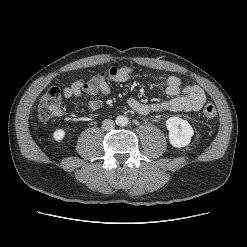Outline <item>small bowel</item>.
<instances>
[{"mask_svg":"<svg viewBox=\"0 0 247 247\" xmlns=\"http://www.w3.org/2000/svg\"><path fill=\"white\" fill-rule=\"evenodd\" d=\"M132 72L131 67H111L88 81L81 79L75 81L71 86L64 88L63 95L67 99L84 95L94 96L99 92L108 95L110 93L108 80L126 82L130 80ZM160 83L163 85L166 95L170 97L169 100L148 104L132 97L128 99L129 107L141 115L159 111L197 112L206 101L205 93L200 87L196 85L183 86L177 76L162 78ZM101 105V101L97 99H89L87 103L90 112L97 111ZM62 115L63 112L60 111L59 116Z\"/></svg>","mask_w":247,"mask_h":247,"instance_id":"obj_1","label":"small bowel"}]
</instances>
